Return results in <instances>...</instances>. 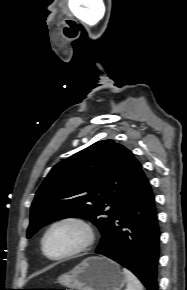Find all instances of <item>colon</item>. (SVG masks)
<instances>
[{
  "label": "colon",
  "mask_w": 187,
  "mask_h": 290,
  "mask_svg": "<svg viewBox=\"0 0 187 290\" xmlns=\"http://www.w3.org/2000/svg\"><path fill=\"white\" fill-rule=\"evenodd\" d=\"M28 290H68V289H28Z\"/></svg>",
  "instance_id": "5ec220e1"
}]
</instances>
